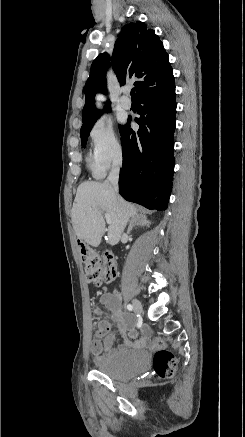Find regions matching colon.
I'll return each mask as SVG.
<instances>
[{
	"label": "colon",
	"mask_w": 245,
	"mask_h": 437,
	"mask_svg": "<svg viewBox=\"0 0 245 437\" xmlns=\"http://www.w3.org/2000/svg\"><path fill=\"white\" fill-rule=\"evenodd\" d=\"M82 261L86 278L89 282L100 286L112 283L117 277V269L111 255L100 254L91 248H83ZM154 351L153 368L160 377H170L176 368L175 356L166 350L162 339H154L150 345Z\"/></svg>",
	"instance_id": "5ec220e1"
}]
</instances>
